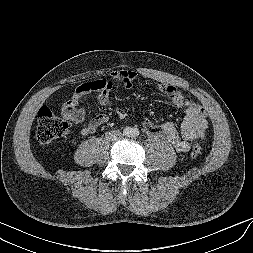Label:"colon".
Returning <instances> with one entry per match:
<instances>
[{
	"mask_svg": "<svg viewBox=\"0 0 253 253\" xmlns=\"http://www.w3.org/2000/svg\"><path fill=\"white\" fill-rule=\"evenodd\" d=\"M68 123L57 117L52 110L43 106L37 114V131L36 137L39 143L49 144L52 141L64 136L68 131ZM202 154L200 145L193 146L191 156L198 158Z\"/></svg>",
	"mask_w": 253,
	"mask_h": 253,
	"instance_id": "1",
	"label": "colon"
}]
</instances>
